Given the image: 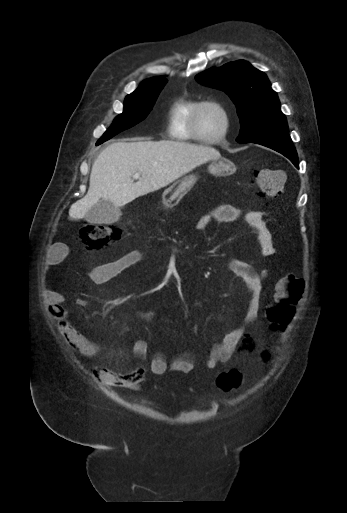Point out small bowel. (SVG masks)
<instances>
[{
  "label": "small bowel",
  "mask_w": 347,
  "mask_h": 513,
  "mask_svg": "<svg viewBox=\"0 0 347 513\" xmlns=\"http://www.w3.org/2000/svg\"><path fill=\"white\" fill-rule=\"evenodd\" d=\"M243 221L253 230L255 241L258 246L259 254L262 257H270L275 253V248L266 226L263 216L260 212L243 213L240 209L231 205H220L205 212L198 220L196 228L199 230L208 229L213 223H236ZM65 246L62 243H54L44 260V270L59 264L63 260ZM144 261V254L140 250H132L121 257L103 265L95 267L91 272V279L95 284H104L129 268H132ZM253 260L246 262L232 261L229 263V269L235 272H241L248 278L246 284L250 293L249 300L244 313V322L251 323L259 311V297L261 290V281L265 277V272L260 275L254 271ZM44 298L49 306L50 312L57 318L60 332L71 343V345L83 356L92 358L98 354V346L86 336L80 333L68 320L67 311L63 306V294L52 288L47 280L44 283ZM83 306L82 303H79ZM153 312L146 314L145 318L151 320ZM251 340L250 334L246 331L243 324L236 325L229 332L225 333L210 349L205 365L209 369L217 367L219 364L229 362L233 355L242 344H247ZM148 344L143 339H137L132 344L133 354L140 359L147 355ZM264 361V360H263ZM271 361H264L271 363ZM194 369V361L190 354H182L167 360L165 355L157 352L153 355L149 370L156 375H162L167 371L180 373H189ZM146 373V368L138 366L126 374H119L111 369H96L93 376L100 382L109 386H121L130 389H136Z\"/></svg>",
  "instance_id": "obj_1"
}]
</instances>
